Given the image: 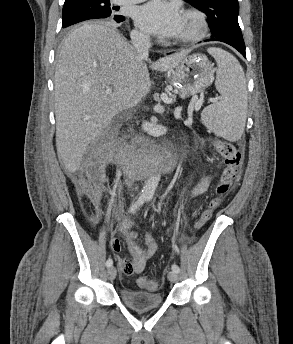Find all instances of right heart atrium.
<instances>
[{
	"label": "right heart atrium",
	"mask_w": 293,
	"mask_h": 344,
	"mask_svg": "<svg viewBox=\"0 0 293 344\" xmlns=\"http://www.w3.org/2000/svg\"><path fill=\"white\" fill-rule=\"evenodd\" d=\"M133 37H134V39H136L138 41H146L148 39V37L144 33L139 32V31H134Z\"/></svg>",
	"instance_id": "1"
}]
</instances>
